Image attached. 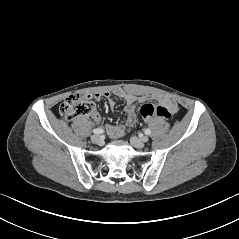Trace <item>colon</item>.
<instances>
[{"label": "colon", "mask_w": 239, "mask_h": 239, "mask_svg": "<svg viewBox=\"0 0 239 239\" xmlns=\"http://www.w3.org/2000/svg\"><path fill=\"white\" fill-rule=\"evenodd\" d=\"M60 114L65 119L71 120L77 116H91L95 113V105L89 95L72 94L60 105ZM141 115L144 119L163 118L170 116L169 110L157 103H146L141 107Z\"/></svg>", "instance_id": "obj_1"}]
</instances>
